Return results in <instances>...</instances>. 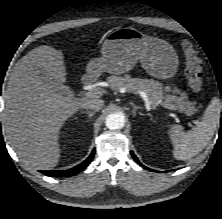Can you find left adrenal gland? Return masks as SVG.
I'll use <instances>...</instances> for the list:
<instances>
[{"label": "left adrenal gland", "mask_w": 222, "mask_h": 219, "mask_svg": "<svg viewBox=\"0 0 222 219\" xmlns=\"http://www.w3.org/2000/svg\"><path fill=\"white\" fill-rule=\"evenodd\" d=\"M133 107V110H132V115L135 116L136 115V112L137 110L141 109L140 106H136L133 102L130 103Z\"/></svg>", "instance_id": "a2214340"}]
</instances>
